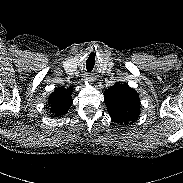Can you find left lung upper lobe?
Returning <instances> with one entry per match:
<instances>
[{
  "label": "left lung upper lobe",
  "instance_id": "1",
  "mask_svg": "<svg viewBox=\"0 0 183 183\" xmlns=\"http://www.w3.org/2000/svg\"><path fill=\"white\" fill-rule=\"evenodd\" d=\"M104 101L111 119L119 124H128L139 117L138 93L127 83H115L104 91Z\"/></svg>",
  "mask_w": 183,
  "mask_h": 183
}]
</instances>
